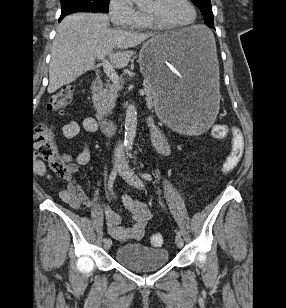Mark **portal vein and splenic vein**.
I'll return each mask as SVG.
<instances>
[{
  "mask_svg": "<svg viewBox=\"0 0 286 308\" xmlns=\"http://www.w3.org/2000/svg\"><path fill=\"white\" fill-rule=\"evenodd\" d=\"M106 53L105 52H99L97 54L98 59L101 61L104 72L106 75L110 78V80L113 82V84H116L119 86V76L114 70L113 66L111 63L105 58ZM140 95L145 94V90H140Z\"/></svg>",
  "mask_w": 286,
  "mask_h": 308,
  "instance_id": "1",
  "label": "portal vein and splenic vein"
}]
</instances>
